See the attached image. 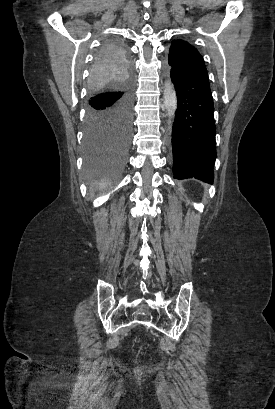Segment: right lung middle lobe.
<instances>
[{"label":"right lung middle lobe","mask_w":275,"mask_h":409,"mask_svg":"<svg viewBox=\"0 0 275 409\" xmlns=\"http://www.w3.org/2000/svg\"><path fill=\"white\" fill-rule=\"evenodd\" d=\"M132 50L116 38L98 47L88 79L83 181H118L130 147L132 130ZM107 178H102V177ZM98 188V183H92ZM100 187H114L104 183Z\"/></svg>","instance_id":"dd1d6c3e"}]
</instances>
